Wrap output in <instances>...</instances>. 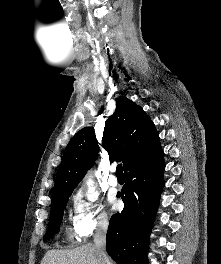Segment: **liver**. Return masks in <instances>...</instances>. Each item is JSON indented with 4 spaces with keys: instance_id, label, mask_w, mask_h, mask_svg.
Segmentation results:
<instances>
[{
    "instance_id": "obj_1",
    "label": "liver",
    "mask_w": 221,
    "mask_h": 264,
    "mask_svg": "<svg viewBox=\"0 0 221 264\" xmlns=\"http://www.w3.org/2000/svg\"><path fill=\"white\" fill-rule=\"evenodd\" d=\"M110 261V260H109ZM40 264H101L95 245L87 244L72 250H50ZM110 264H115L110 261Z\"/></svg>"
}]
</instances>
